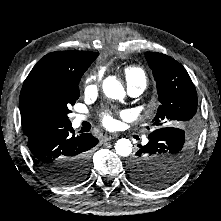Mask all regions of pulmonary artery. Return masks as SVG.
<instances>
[{
  "label": "pulmonary artery",
  "instance_id": "pulmonary-artery-1",
  "mask_svg": "<svg viewBox=\"0 0 221 221\" xmlns=\"http://www.w3.org/2000/svg\"><path fill=\"white\" fill-rule=\"evenodd\" d=\"M145 88L146 86L142 84H129L127 89L130 96L138 97L144 92ZM83 120H85L84 116L82 115L75 116V118L73 119L74 127H78Z\"/></svg>",
  "mask_w": 221,
  "mask_h": 221
}]
</instances>
